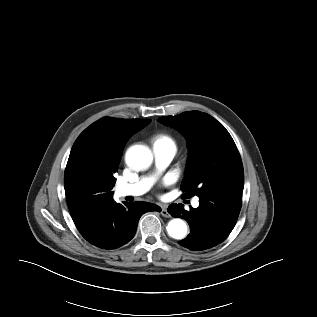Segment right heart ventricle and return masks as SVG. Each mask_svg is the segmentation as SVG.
I'll return each instance as SVG.
<instances>
[{
  "label": "right heart ventricle",
  "mask_w": 317,
  "mask_h": 317,
  "mask_svg": "<svg viewBox=\"0 0 317 317\" xmlns=\"http://www.w3.org/2000/svg\"><path fill=\"white\" fill-rule=\"evenodd\" d=\"M154 144H159V145H163V146H170V147H173L175 148V141L174 139L167 135V134H160V135H157L155 138H154Z\"/></svg>",
  "instance_id": "e07e8e85"
}]
</instances>
